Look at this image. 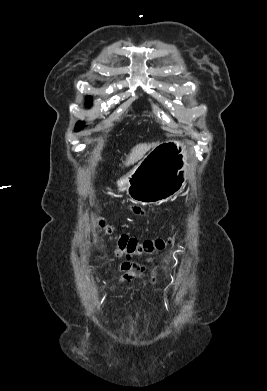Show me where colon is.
Masks as SVG:
<instances>
[{"mask_svg":"<svg viewBox=\"0 0 267 391\" xmlns=\"http://www.w3.org/2000/svg\"><path fill=\"white\" fill-rule=\"evenodd\" d=\"M101 230L108 236H111L116 242L117 255L131 260L134 257H144L148 262L152 261L154 253L164 250L171 241L165 239L139 241L137 238L127 234L113 236V230L106 222L99 220Z\"/></svg>","mask_w":267,"mask_h":391,"instance_id":"obj_1","label":"colon"}]
</instances>
